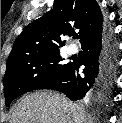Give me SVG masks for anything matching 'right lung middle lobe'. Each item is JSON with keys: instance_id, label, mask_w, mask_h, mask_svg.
<instances>
[{"instance_id": "1", "label": "right lung middle lobe", "mask_w": 122, "mask_h": 123, "mask_svg": "<svg viewBox=\"0 0 122 123\" xmlns=\"http://www.w3.org/2000/svg\"><path fill=\"white\" fill-rule=\"evenodd\" d=\"M71 63H63L59 52L34 56L6 68L4 76L5 103L29 91L40 89L61 77Z\"/></svg>"}]
</instances>
